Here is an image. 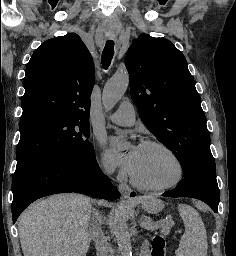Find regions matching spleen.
Returning <instances> with one entry per match:
<instances>
[{
  "instance_id": "obj_1",
  "label": "spleen",
  "mask_w": 236,
  "mask_h": 256,
  "mask_svg": "<svg viewBox=\"0 0 236 256\" xmlns=\"http://www.w3.org/2000/svg\"><path fill=\"white\" fill-rule=\"evenodd\" d=\"M178 210L185 226L176 256H207L208 242L204 222L197 210L179 204Z\"/></svg>"
}]
</instances>
